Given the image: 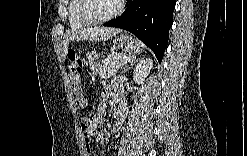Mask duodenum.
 Instances as JSON below:
<instances>
[{
  "instance_id": "duodenum-1",
  "label": "duodenum",
  "mask_w": 247,
  "mask_h": 156,
  "mask_svg": "<svg viewBox=\"0 0 247 156\" xmlns=\"http://www.w3.org/2000/svg\"><path fill=\"white\" fill-rule=\"evenodd\" d=\"M114 117L116 120H120L123 117V109L122 108H116Z\"/></svg>"
}]
</instances>
